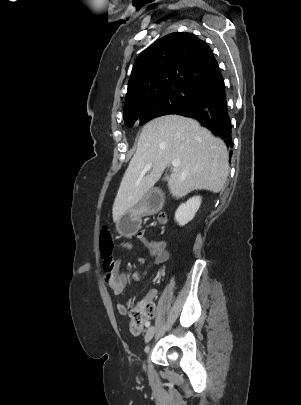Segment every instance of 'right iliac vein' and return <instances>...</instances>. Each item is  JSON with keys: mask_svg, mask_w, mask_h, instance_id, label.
<instances>
[{"mask_svg": "<svg viewBox=\"0 0 301 405\" xmlns=\"http://www.w3.org/2000/svg\"><path fill=\"white\" fill-rule=\"evenodd\" d=\"M156 329L154 326H151L148 328L146 334H145V342L148 343L153 336L155 335Z\"/></svg>", "mask_w": 301, "mask_h": 405, "instance_id": "right-iliac-vein-1", "label": "right iliac vein"}]
</instances>
